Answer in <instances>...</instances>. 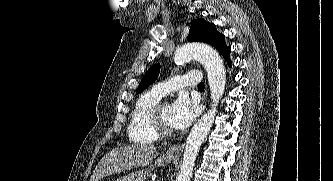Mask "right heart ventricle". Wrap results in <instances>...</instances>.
I'll list each match as a JSON object with an SVG mask.
<instances>
[{
  "mask_svg": "<svg viewBox=\"0 0 333 181\" xmlns=\"http://www.w3.org/2000/svg\"><path fill=\"white\" fill-rule=\"evenodd\" d=\"M162 97L153 91L143 93L135 102L128 126V137L136 144H152L159 136L153 131L150 123L152 108Z\"/></svg>",
  "mask_w": 333,
  "mask_h": 181,
  "instance_id": "e07e8e85",
  "label": "right heart ventricle"
}]
</instances>
